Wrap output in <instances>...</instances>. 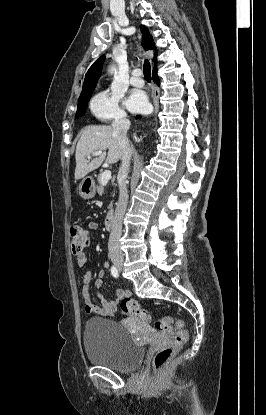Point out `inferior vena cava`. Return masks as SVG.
<instances>
[{"label":"inferior vena cava","instance_id":"obj_1","mask_svg":"<svg viewBox=\"0 0 266 415\" xmlns=\"http://www.w3.org/2000/svg\"><path fill=\"white\" fill-rule=\"evenodd\" d=\"M130 127V121L125 116L116 117L112 123L113 135L117 138L122 150L121 167L118 172L119 180V200L116 205L113 224L108 241V251L110 258L123 257L120 249V237L122 234V222L128 203V190L126 178L128 177L132 149L127 138V131Z\"/></svg>","mask_w":266,"mask_h":415}]
</instances>
